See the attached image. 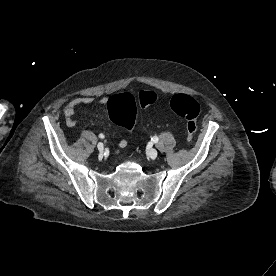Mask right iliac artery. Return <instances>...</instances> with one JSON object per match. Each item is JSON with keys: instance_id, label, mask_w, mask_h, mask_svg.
<instances>
[{"instance_id": "1", "label": "right iliac artery", "mask_w": 276, "mask_h": 276, "mask_svg": "<svg viewBox=\"0 0 276 276\" xmlns=\"http://www.w3.org/2000/svg\"><path fill=\"white\" fill-rule=\"evenodd\" d=\"M99 137H100L101 139H103V138H104V135H103V134H100Z\"/></svg>"}]
</instances>
